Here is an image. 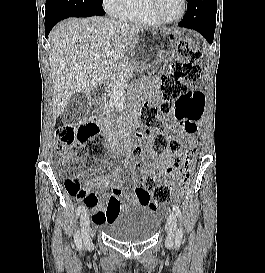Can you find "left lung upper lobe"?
Masks as SVG:
<instances>
[{"mask_svg": "<svg viewBox=\"0 0 265 273\" xmlns=\"http://www.w3.org/2000/svg\"><path fill=\"white\" fill-rule=\"evenodd\" d=\"M188 2L190 0H187ZM204 20L209 22V23H213L216 21V9L215 10H208L204 16Z\"/></svg>", "mask_w": 265, "mask_h": 273, "instance_id": "5c2ea615", "label": "left lung upper lobe"}]
</instances>
